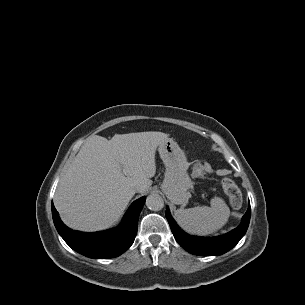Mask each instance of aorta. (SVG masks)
<instances>
[{
	"label": "aorta",
	"mask_w": 305,
	"mask_h": 305,
	"mask_svg": "<svg viewBox=\"0 0 305 305\" xmlns=\"http://www.w3.org/2000/svg\"><path fill=\"white\" fill-rule=\"evenodd\" d=\"M146 206L152 211H160L164 207V200L159 194L152 193L146 199Z\"/></svg>",
	"instance_id": "762f6f07"
}]
</instances>
